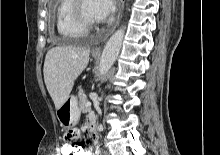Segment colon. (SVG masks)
<instances>
[{
	"label": "colon",
	"instance_id": "colon-1",
	"mask_svg": "<svg viewBox=\"0 0 220 155\" xmlns=\"http://www.w3.org/2000/svg\"><path fill=\"white\" fill-rule=\"evenodd\" d=\"M62 155H81L82 147L80 146H61Z\"/></svg>",
	"mask_w": 220,
	"mask_h": 155
}]
</instances>
